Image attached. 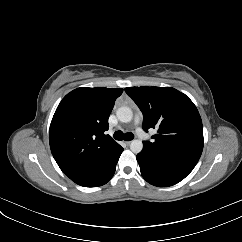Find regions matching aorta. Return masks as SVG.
I'll return each mask as SVG.
<instances>
[{
  "label": "aorta",
  "instance_id": "aorta-1",
  "mask_svg": "<svg viewBox=\"0 0 242 242\" xmlns=\"http://www.w3.org/2000/svg\"><path fill=\"white\" fill-rule=\"evenodd\" d=\"M116 116L120 122L129 123L133 119V112L128 107H120L116 111ZM143 149V142L140 139L131 141L130 150L133 153H140Z\"/></svg>",
  "mask_w": 242,
  "mask_h": 242
}]
</instances>
